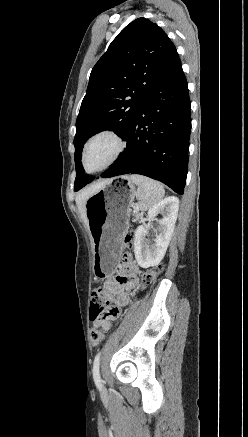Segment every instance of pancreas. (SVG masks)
Wrapping results in <instances>:
<instances>
[{"mask_svg": "<svg viewBox=\"0 0 248 437\" xmlns=\"http://www.w3.org/2000/svg\"><path fill=\"white\" fill-rule=\"evenodd\" d=\"M139 215H140L139 213H135V216H136V218H138V217H139Z\"/></svg>", "mask_w": 248, "mask_h": 437, "instance_id": "cf45deb5", "label": "pancreas"}]
</instances>
